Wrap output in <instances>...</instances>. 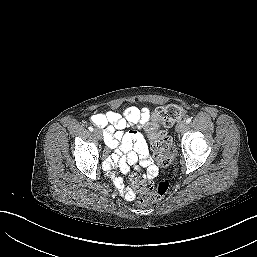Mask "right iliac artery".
I'll return each mask as SVG.
<instances>
[{
	"label": "right iliac artery",
	"instance_id": "right-iliac-artery-1",
	"mask_svg": "<svg viewBox=\"0 0 257 257\" xmlns=\"http://www.w3.org/2000/svg\"><path fill=\"white\" fill-rule=\"evenodd\" d=\"M88 129H89V131H91V132L94 130L92 126H89Z\"/></svg>",
	"mask_w": 257,
	"mask_h": 257
}]
</instances>
